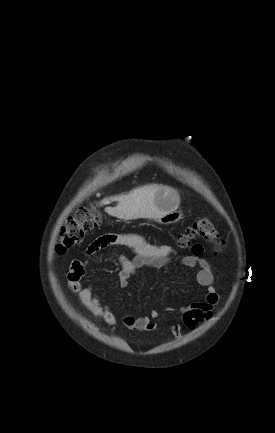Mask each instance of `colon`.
Returning <instances> with one entry per match:
<instances>
[{"label": "colon", "instance_id": "colon-1", "mask_svg": "<svg viewBox=\"0 0 275 433\" xmlns=\"http://www.w3.org/2000/svg\"><path fill=\"white\" fill-rule=\"evenodd\" d=\"M102 224V217L97 208L92 211L82 208L76 217L68 219L61 227L56 252L64 254L68 249L78 244L84 234L98 228ZM195 239H202L215 247L216 252H221L224 241L209 218L201 217L194 222L177 239L179 247L189 246Z\"/></svg>", "mask_w": 275, "mask_h": 433}]
</instances>
